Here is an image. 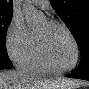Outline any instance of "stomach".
I'll return each instance as SVG.
<instances>
[{
    "instance_id": "1",
    "label": "stomach",
    "mask_w": 89,
    "mask_h": 89,
    "mask_svg": "<svg viewBox=\"0 0 89 89\" xmlns=\"http://www.w3.org/2000/svg\"><path fill=\"white\" fill-rule=\"evenodd\" d=\"M57 89H68V88H64V87H59V88H57Z\"/></svg>"
}]
</instances>
